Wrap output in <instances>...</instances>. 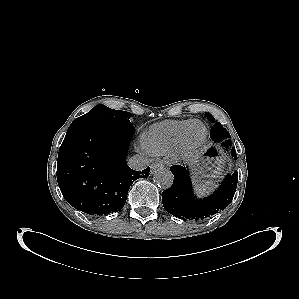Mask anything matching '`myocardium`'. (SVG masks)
I'll list each match as a JSON object with an SVG mask.
<instances>
[{"mask_svg":"<svg viewBox=\"0 0 299 299\" xmlns=\"http://www.w3.org/2000/svg\"><path fill=\"white\" fill-rule=\"evenodd\" d=\"M193 124H200L203 128V135L201 140L194 146L190 147L187 145L186 142V138H187V133L190 129V127ZM207 127L206 125L197 119L191 120L186 127L184 128V130L182 131V133L180 134L177 143L175 144L174 148L171 150L172 156L178 160V161H182V162H186L191 160L192 158H194L199 152L200 150L203 148L206 139H207Z\"/></svg>","mask_w":299,"mask_h":299,"instance_id":"myocardium-1","label":"myocardium"}]
</instances>
